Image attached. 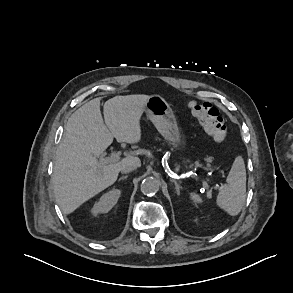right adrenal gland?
I'll return each instance as SVG.
<instances>
[{
    "label": "right adrenal gland",
    "instance_id": "obj_1",
    "mask_svg": "<svg viewBox=\"0 0 293 293\" xmlns=\"http://www.w3.org/2000/svg\"><path fill=\"white\" fill-rule=\"evenodd\" d=\"M127 177H128V175H126V176H122V177H120V178L118 179V181L124 180V179H126Z\"/></svg>",
    "mask_w": 293,
    "mask_h": 293
}]
</instances>
